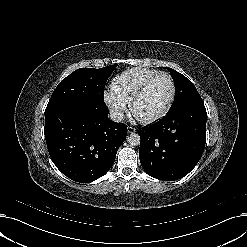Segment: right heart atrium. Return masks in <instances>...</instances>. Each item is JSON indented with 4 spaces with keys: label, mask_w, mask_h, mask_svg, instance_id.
<instances>
[{
    "label": "right heart atrium",
    "mask_w": 247,
    "mask_h": 247,
    "mask_svg": "<svg viewBox=\"0 0 247 247\" xmlns=\"http://www.w3.org/2000/svg\"><path fill=\"white\" fill-rule=\"evenodd\" d=\"M106 104L116 115H121L125 109V104L115 98L113 95H107L105 98Z\"/></svg>",
    "instance_id": "obj_1"
}]
</instances>
